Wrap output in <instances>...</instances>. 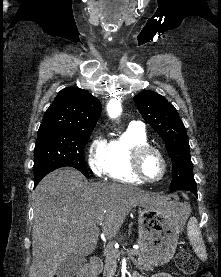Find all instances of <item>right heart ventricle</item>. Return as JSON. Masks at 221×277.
<instances>
[{"label":"right heart ventricle","mask_w":221,"mask_h":277,"mask_svg":"<svg viewBox=\"0 0 221 277\" xmlns=\"http://www.w3.org/2000/svg\"><path fill=\"white\" fill-rule=\"evenodd\" d=\"M149 144L144 129L129 126L120 136L111 139L106 145L104 174L115 181L139 184L142 181L131 168V156L138 146Z\"/></svg>","instance_id":"1"}]
</instances>
